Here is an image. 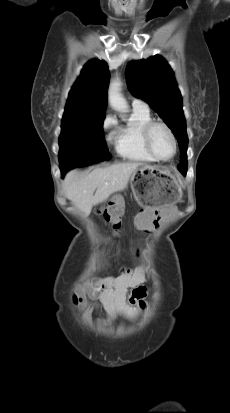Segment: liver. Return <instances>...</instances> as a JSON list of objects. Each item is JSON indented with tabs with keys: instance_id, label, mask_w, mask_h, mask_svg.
I'll list each match as a JSON object with an SVG mask.
<instances>
[{
	"instance_id": "obj_1",
	"label": "liver",
	"mask_w": 230,
	"mask_h": 413,
	"mask_svg": "<svg viewBox=\"0 0 230 413\" xmlns=\"http://www.w3.org/2000/svg\"><path fill=\"white\" fill-rule=\"evenodd\" d=\"M138 162H119L105 168H97L85 176L70 171L64 179L65 196L87 217L92 207L114 192L124 190L133 172L142 166Z\"/></svg>"
}]
</instances>
